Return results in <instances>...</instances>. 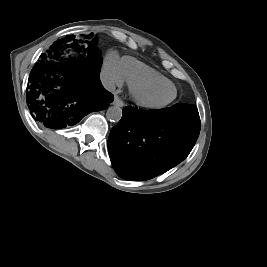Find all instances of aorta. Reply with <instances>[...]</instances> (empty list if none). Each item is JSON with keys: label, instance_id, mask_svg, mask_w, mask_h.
I'll list each match as a JSON object with an SVG mask.
<instances>
[{"label": "aorta", "instance_id": "obj_1", "mask_svg": "<svg viewBox=\"0 0 267 267\" xmlns=\"http://www.w3.org/2000/svg\"><path fill=\"white\" fill-rule=\"evenodd\" d=\"M106 117L109 121L119 122L122 118V109L119 106H111L107 109Z\"/></svg>", "mask_w": 267, "mask_h": 267}]
</instances>
